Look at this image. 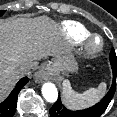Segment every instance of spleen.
<instances>
[{
	"label": "spleen",
	"instance_id": "obj_1",
	"mask_svg": "<svg viewBox=\"0 0 117 117\" xmlns=\"http://www.w3.org/2000/svg\"><path fill=\"white\" fill-rule=\"evenodd\" d=\"M105 82L99 84L97 88H89L83 93L74 91L69 80L63 81V102L71 110H79L92 106L98 102L106 92Z\"/></svg>",
	"mask_w": 117,
	"mask_h": 117
}]
</instances>
